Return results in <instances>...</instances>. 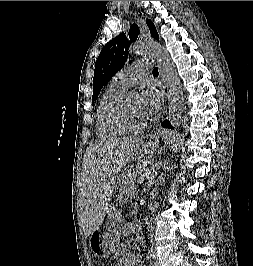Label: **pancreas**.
I'll list each match as a JSON object with an SVG mask.
<instances>
[{"mask_svg": "<svg viewBox=\"0 0 253 266\" xmlns=\"http://www.w3.org/2000/svg\"><path fill=\"white\" fill-rule=\"evenodd\" d=\"M120 192V201L127 202L128 198H132L136 193V188L134 185V176H128L125 180L122 181L119 188Z\"/></svg>", "mask_w": 253, "mask_h": 266, "instance_id": "1", "label": "pancreas"}]
</instances>
